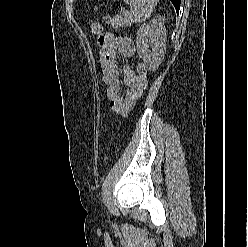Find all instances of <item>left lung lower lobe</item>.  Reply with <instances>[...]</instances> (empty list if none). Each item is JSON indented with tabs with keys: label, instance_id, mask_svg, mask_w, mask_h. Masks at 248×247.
Instances as JSON below:
<instances>
[{
	"label": "left lung lower lobe",
	"instance_id": "1",
	"mask_svg": "<svg viewBox=\"0 0 248 247\" xmlns=\"http://www.w3.org/2000/svg\"><path fill=\"white\" fill-rule=\"evenodd\" d=\"M170 1L173 3V5H174V7L176 9V12L178 13L179 12V9H180V2H181V0H170Z\"/></svg>",
	"mask_w": 248,
	"mask_h": 247
}]
</instances>
